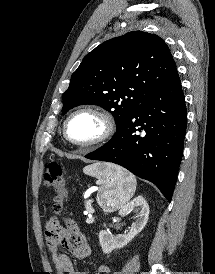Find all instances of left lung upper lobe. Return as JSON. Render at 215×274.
Here are the masks:
<instances>
[{
  "mask_svg": "<svg viewBox=\"0 0 215 274\" xmlns=\"http://www.w3.org/2000/svg\"><path fill=\"white\" fill-rule=\"evenodd\" d=\"M177 74L166 43L157 35L132 31L103 42L87 54L63 94V110L84 104L111 112L117 128L152 92Z\"/></svg>",
  "mask_w": 215,
  "mask_h": 274,
  "instance_id": "left-lung-upper-lobe-1",
  "label": "left lung upper lobe"
}]
</instances>
